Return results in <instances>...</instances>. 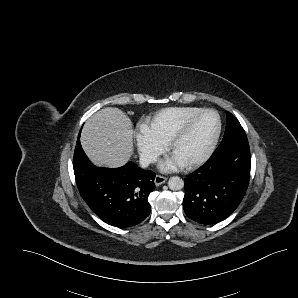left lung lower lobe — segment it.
I'll list each match as a JSON object with an SVG mask.
<instances>
[{
    "label": "left lung lower lobe",
    "instance_id": "0a47b994",
    "mask_svg": "<svg viewBox=\"0 0 298 298\" xmlns=\"http://www.w3.org/2000/svg\"><path fill=\"white\" fill-rule=\"evenodd\" d=\"M250 167L246 134L222 141L210 159L184 179L186 215L205 225L227 218L246 193Z\"/></svg>",
    "mask_w": 298,
    "mask_h": 298
}]
</instances>
